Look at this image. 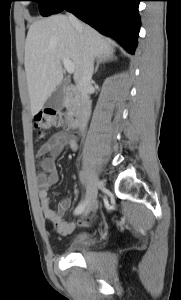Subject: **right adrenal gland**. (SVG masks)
I'll list each match as a JSON object with an SVG mask.
<instances>
[{
	"label": "right adrenal gland",
	"instance_id": "2a0ac1e0",
	"mask_svg": "<svg viewBox=\"0 0 181 300\" xmlns=\"http://www.w3.org/2000/svg\"><path fill=\"white\" fill-rule=\"evenodd\" d=\"M112 59H113V54L108 55L107 57H101V58L97 61V64H96L94 73H97L98 68H99V65H100L101 63H104V62L109 61V60H112Z\"/></svg>",
	"mask_w": 181,
	"mask_h": 300
}]
</instances>
